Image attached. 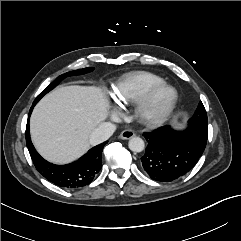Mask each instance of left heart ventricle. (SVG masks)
I'll use <instances>...</instances> for the list:
<instances>
[{"instance_id":"b2bd125f","label":"left heart ventricle","mask_w":241,"mask_h":241,"mask_svg":"<svg viewBox=\"0 0 241 241\" xmlns=\"http://www.w3.org/2000/svg\"><path fill=\"white\" fill-rule=\"evenodd\" d=\"M171 97H172L171 90L165 89V90L161 91L158 94V96L153 104V110H155V111L162 110L169 103Z\"/></svg>"}]
</instances>
